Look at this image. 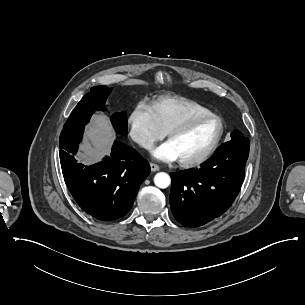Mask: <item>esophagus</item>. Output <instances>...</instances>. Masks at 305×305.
Wrapping results in <instances>:
<instances>
[{
	"label": "esophagus",
	"mask_w": 305,
	"mask_h": 305,
	"mask_svg": "<svg viewBox=\"0 0 305 305\" xmlns=\"http://www.w3.org/2000/svg\"><path fill=\"white\" fill-rule=\"evenodd\" d=\"M150 168L152 172H156L159 170V166L155 163H150Z\"/></svg>",
	"instance_id": "esophagus-1"
}]
</instances>
